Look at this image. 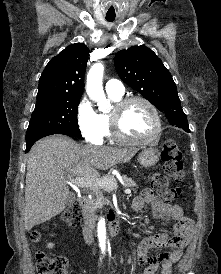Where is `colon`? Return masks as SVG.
Segmentation results:
<instances>
[{"label": "colon", "instance_id": "1", "mask_svg": "<svg viewBox=\"0 0 221 274\" xmlns=\"http://www.w3.org/2000/svg\"><path fill=\"white\" fill-rule=\"evenodd\" d=\"M161 158L165 175L156 174L152 179V187L164 200L172 202L181 194V187L179 185L170 187L167 177L174 179L177 184H180L185 177L181 151L175 141H165ZM59 222L69 228L77 227L81 222L80 206L77 204L69 206L62 213ZM30 238L33 242H39L41 233L33 231ZM36 258L38 274H70L68 261L64 257H51L44 251H38Z\"/></svg>", "mask_w": 221, "mask_h": 274}]
</instances>
